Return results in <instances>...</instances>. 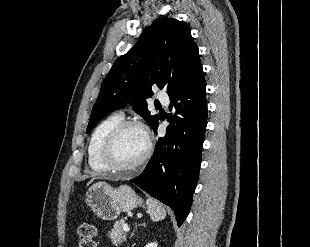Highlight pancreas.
<instances>
[{"label": "pancreas", "mask_w": 310, "mask_h": 247, "mask_svg": "<svg viewBox=\"0 0 310 247\" xmlns=\"http://www.w3.org/2000/svg\"><path fill=\"white\" fill-rule=\"evenodd\" d=\"M123 225L124 222L117 221L111 231L108 232V237L115 246H119L126 241V233L123 230Z\"/></svg>", "instance_id": "pancreas-1"}]
</instances>
